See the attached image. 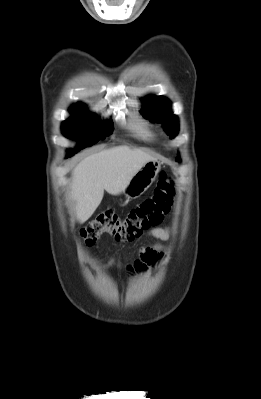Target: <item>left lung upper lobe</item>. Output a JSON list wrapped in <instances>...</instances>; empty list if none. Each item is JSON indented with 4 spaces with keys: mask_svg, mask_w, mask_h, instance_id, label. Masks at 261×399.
I'll use <instances>...</instances> for the list:
<instances>
[{
    "mask_svg": "<svg viewBox=\"0 0 261 399\" xmlns=\"http://www.w3.org/2000/svg\"><path fill=\"white\" fill-rule=\"evenodd\" d=\"M144 107L141 114L149 120L163 123V127L167 134L174 138L178 131V118L170 111L171 102L164 97L148 96L142 99ZM180 162V157L176 158Z\"/></svg>",
    "mask_w": 261,
    "mask_h": 399,
    "instance_id": "obj_1",
    "label": "left lung upper lobe"
}]
</instances>
